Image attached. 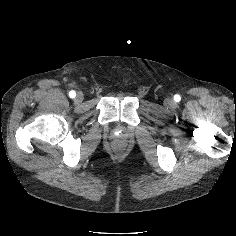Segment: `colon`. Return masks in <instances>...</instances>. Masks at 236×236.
Returning a JSON list of instances; mask_svg holds the SVG:
<instances>
[{
    "label": "colon",
    "instance_id": "obj_1",
    "mask_svg": "<svg viewBox=\"0 0 236 236\" xmlns=\"http://www.w3.org/2000/svg\"><path fill=\"white\" fill-rule=\"evenodd\" d=\"M121 147L119 145L116 146V150H120Z\"/></svg>",
    "mask_w": 236,
    "mask_h": 236
}]
</instances>
